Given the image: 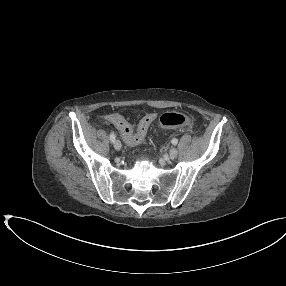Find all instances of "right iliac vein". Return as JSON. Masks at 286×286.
<instances>
[{
    "mask_svg": "<svg viewBox=\"0 0 286 286\" xmlns=\"http://www.w3.org/2000/svg\"><path fill=\"white\" fill-rule=\"evenodd\" d=\"M121 147H122L121 142H120L119 140H115V141H114V148H115L116 150H120Z\"/></svg>",
    "mask_w": 286,
    "mask_h": 286,
    "instance_id": "obj_1",
    "label": "right iliac vein"
}]
</instances>
